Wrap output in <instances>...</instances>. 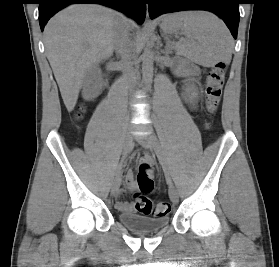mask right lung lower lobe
Instances as JSON below:
<instances>
[{
  "mask_svg": "<svg viewBox=\"0 0 279 267\" xmlns=\"http://www.w3.org/2000/svg\"><path fill=\"white\" fill-rule=\"evenodd\" d=\"M96 3L117 9L142 24L145 19V0H39V24L43 30L47 21L70 4Z\"/></svg>",
  "mask_w": 279,
  "mask_h": 267,
  "instance_id": "1",
  "label": "right lung lower lobe"
}]
</instances>
